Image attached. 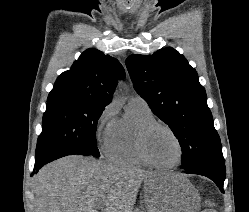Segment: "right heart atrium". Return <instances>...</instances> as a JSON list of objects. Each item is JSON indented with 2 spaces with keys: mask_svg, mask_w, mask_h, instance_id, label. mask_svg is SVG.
Masks as SVG:
<instances>
[{
  "mask_svg": "<svg viewBox=\"0 0 249 212\" xmlns=\"http://www.w3.org/2000/svg\"><path fill=\"white\" fill-rule=\"evenodd\" d=\"M116 113V106L113 102L107 104L95 121V137L99 143V146L105 151L110 142V129L114 122L113 118Z\"/></svg>",
  "mask_w": 249,
  "mask_h": 212,
  "instance_id": "right-heart-atrium-1",
  "label": "right heart atrium"
}]
</instances>
